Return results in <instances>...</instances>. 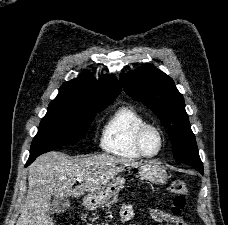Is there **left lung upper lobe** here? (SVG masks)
<instances>
[{
  "mask_svg": "<svg viewBox=\"0 0 228 225\" xmlns=\"http://www.w3.org/2000/svg\"><path fill=\"white\" fill-rule=\"evenodd\" d=\"M120 79L129 96L145 104L158 116L169 134L176 162L203 171L185 102L173 80L150 64L127 74L122 73Z\"/></svg>",
  "mask_w": 228,
  "mask_h": 225,
  "instance_id": "5c2ea615",
  "label": "left lung upper lobe"
}]
</instances>
